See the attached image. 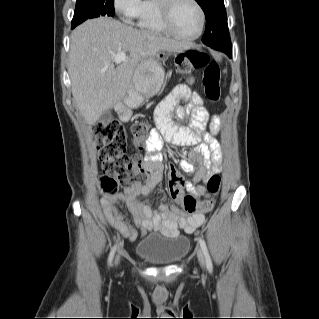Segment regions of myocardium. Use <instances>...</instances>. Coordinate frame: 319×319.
<instances>
[{"label": "myocardium", "mask_w": 319, "mask_h": 319, "mask_svg": "<svg viewBox=\"0 0 319 319\" xmlns=\"http://www.w3.org/2000/svg\"><path fill=\"white\" fill-rule=\"evenodd\" d=\"M181 0H159V11H160V16H161V21L166 29V31L172 35L173 37L180 39V40H184V41H193L198 39L202 32H203V28H204V24H205V13L204 10L202 8V6L199 4V2L197 0H188L189 2H191L195 8L198 11L199 14V28L198 31L195 35L193 36H183L181 34H179L173 24H172V15H173V11L176 7V5L180 2Z\"/></svg>", "instance_id": "f54148a6"}]
</instances>
